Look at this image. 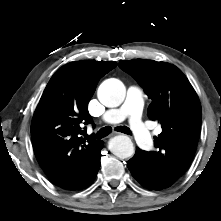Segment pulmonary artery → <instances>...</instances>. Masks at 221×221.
Instances as JSON below:
<instances>
[{"label": "pulmonary artery", "instance_id": "e3ab8cb5", "mask_svg": "<svg viewBox=\"0 0 221 221\" xmlns=\"http://www.w3.org/2000/svg\"><path fill=\"white\" fill-rule=\"evenodd\" d=\"M144 105L143 93L140 88L131 86L127 90L126 99L118 109L103 113L102 120L108 124L118 123L128 119L132 135L142 149H149L153 145L151 133L141 120Z\"/></svg>", "mask_w": 221, "mask_h": 221}]
</instances>
